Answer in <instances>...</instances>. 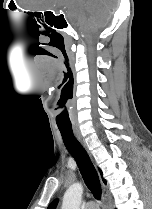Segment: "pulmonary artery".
<instances>
[{"mask_svg":"<svg viewBox=\"0 0 152 209\" xmlns=\"http://www.w3.org/2000/svg\"><path fill=\"white\" fill-rule=\"evenodd\" d=\"M85 209H99L95 202L91 201L85 205Z\"/></svg>","mask_w":152,"mask_h":209,"instance_id":"obj_1","label":"pulmonary artery"}]
</instances>
